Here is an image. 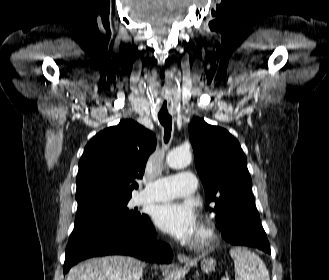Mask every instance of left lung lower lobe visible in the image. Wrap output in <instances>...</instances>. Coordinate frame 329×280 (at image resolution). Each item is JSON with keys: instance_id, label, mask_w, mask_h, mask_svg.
<instances>
[{"instance_id": "left-lung-lower-lobe-1", "label": "left lung lower lobe", "mask_w": 329, "mask_h": 280, "mask_svg": "<svg viewBox=\"0 0 329 280\" xmlns=\"http://www.w3.org/2000/svg\"><path fill=\"white\" fill-rule=\"evenodd\" d=\"M221 230L224 239L232 245L251 246L271 254L266 233L253 201L244 205L236 216L227 219Z\"/></svg>"}]
</instances>
